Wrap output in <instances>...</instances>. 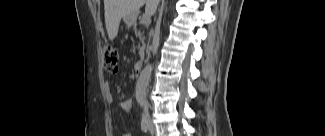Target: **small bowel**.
I'll return each mask as SVG.
<instances>
[{"mask_svg":"<svg viewBox=\"0 0 325 136\" xmlns=\"http://www.w3.org/2000/svg\"><path fill=\"white\" fill-rule=\"evenodd\" d=\"M105 91H106V96H107V99L112 102L113 99H114V96H113V92L112 90L110 89V86L107 84L106 87H105ZM121 107L123 110L125 111H131L132 108H133V100L132 99H127V100H124L121 102Z\"/></svg>","mask_w":325,"mask_h":136,"instance_id":"small-bowel-1","label":"small bowel"}]
</instances>
